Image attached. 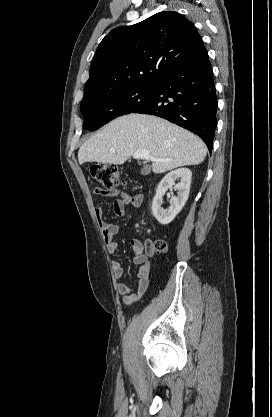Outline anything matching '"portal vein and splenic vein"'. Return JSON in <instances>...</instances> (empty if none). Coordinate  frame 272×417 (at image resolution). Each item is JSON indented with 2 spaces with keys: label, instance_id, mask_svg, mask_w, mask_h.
Wrapping results in <instances>:
<instances>
[{
  "label": "portal vein and splenic vein",
  "instance_id": "1",
  "mask_svg": "<svg viewBox=\"0 0 272 417\" xmlns=\"http://www.w3.org/2000/svg\"><path fill=\"white\" fill-rule=\"evenodd\" d=\"M111 153H114L115 150L112 148L110 149ZM133 157L135 159H144L148 161H160V159H157L150 155V153L147 150H138L133 154Z\"/></svg>",
  "mask_w": 272,
  "mask_h": 417
}]
</instances>
